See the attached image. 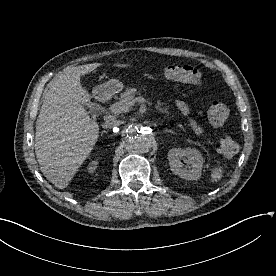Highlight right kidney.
Returning a JSON list of instances; mask_svg holds the SVG:
<instances>
[{
    "instance_id": "obj_1",
    "label": "right kidney",
    "mask_w": 276,
    "mask_h": 276,
    "mask_svg": "<svg viewBox=\"0 0 276 276\" xmlns=\"http://www.w3.org/2000/svg\"><path fill=\"white\" fill-rule=\"evenodd\" d=\"M97 161H92L91 163H89L88 167H87V171L89 174H93L97 168Z\"/></svg>"
}]
</instances>
